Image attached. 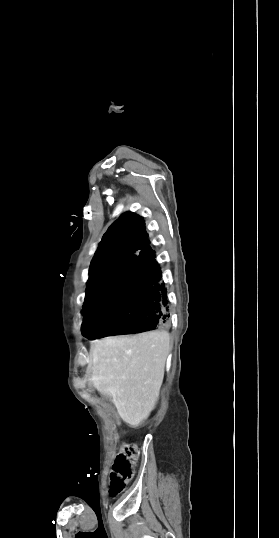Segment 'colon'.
Instances as JSON below:
<instances>
[{
    "label": "colon",
    "instance_id": "obj_1",
    "mask_svg": "<svg viewBox=\"0 0 279 538\" xmlns=\"http://www.w3.org/2000/svg\"><path fill=\"white\" fill-rule=\"evenodd\" d=\"M139 450L135 444H124L114 459L110 475L109 493L112 497L120 494L133 475Z\"/></svg>",
    "mask_w": 279,
    "mask_h": 538
}]
</instances>
